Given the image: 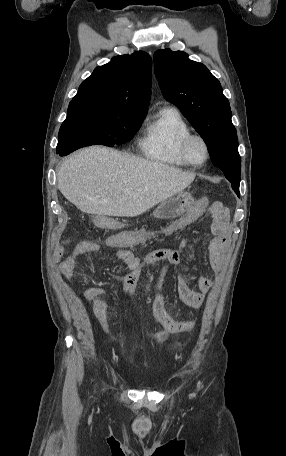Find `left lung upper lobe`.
<instances>
[{
  "instance_id": "obj_1",
  "label": "left lung upper lobe",
  "mask_w": 286,
  "mask_h": 456,
  "mask_svg": "<svg viewBox=\"0 0 286 456\" xmlns=\"http://www.w3.org/2000/svg\"><path fill=\"white\" fill-rule=\"evenodd\" d=\"M155 75L164 98L174 103L207 144L212 163L231 183H240L238 138L228 99L207 67L170 49L154 53Z\"/></svg>"
}]
</instances>
